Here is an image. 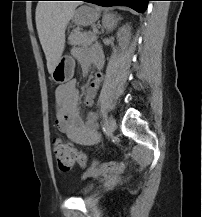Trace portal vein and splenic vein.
Segmentation results:
<instances>
[{
  "instance_id": "obj_1",
  "label": "portal vein and splenic vein",
  "mask_w": 202,
  "mask_h": 217,
  "mask_svg": "<svg viewBox=\"0 0 202 217\" xmlns=\"http://www.w3.org/2000/svg\"><path fill=\"white\" fill-rule=\"evenodd\" d=\"M94 32H95V33H98V30H97V29H94Z\"/></svg>"
}]
</instances>
